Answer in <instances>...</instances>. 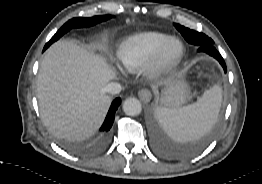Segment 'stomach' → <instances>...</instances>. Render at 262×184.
I'll return each mask as SVG.
<instances>
[{
	"label": "stomach",
	"instance_id": "1",
	"mask_svg": "<svg viewBox=\"0 0 262 184\" xmlns=\"http://www.w3.org/2000/svg\"><path fill=\"white\" fill-rule=\"evenodd\" d=\"M189 92L185 81L173 80L161 90L159 103L166 108H179L188 100Z\"/></svg>",
	"mask_w": 262,
	"mask_h": 184
}]
</instances>
